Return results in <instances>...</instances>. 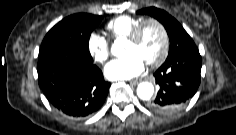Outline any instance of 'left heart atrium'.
<instances>
[{"label": "left heart atrium", "instance_id": "obj_1", "mask_svg": "<svg viewBox=\"0 0 236 135\" xmlns=\"http://www.w3.org/2000/svg\"><path fill=\"white\" fill-rule=\"evenodd\" d=\"M144 68V60L134 53L125 58L110 61L105 66L104 74L110 80L131 79L140 75Z\"/></svg>", "mask_w": 236, "mask_h": 135}]
</instances>
